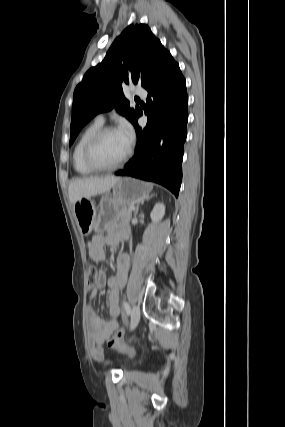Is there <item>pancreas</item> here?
Masks as SVG:
<instances>
[{
    "instance_id": "obj_1",
    "label": "pancreas",
    "mask_w": 285,
    "mask_h": 427,
    "mask_svg": "<svg viewBox=\"0 0 285 427\" xmlns=\"http://www.w3.org/2000/svg\"><path fill=\"white\" fill-rule=\"evenodd\" d=\"M120 222L128 223L132 216V210L129 207H121L117 213Z\"/></svg>"
}]
</instances>
